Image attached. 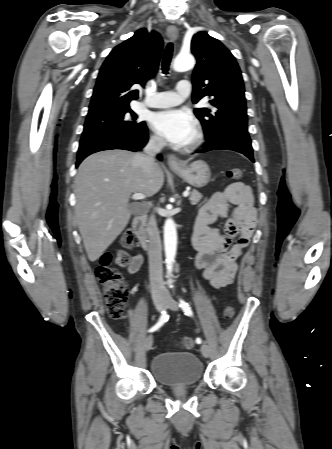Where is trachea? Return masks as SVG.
Instances as JSON below:
<instances>
[{
	"mask_svg": "<svg viewBox=\"0 0 332 449\" xmlns=\"http://www.w3.org/2000/svg\"><path fill=\"white\" fill-rule=\"evenodd\" d=\"M173 54V44L169 43L165 49L163 60H162V71L164 74H168L170 62Z\"/></svg>",
	"mask_w": 332,
	"mask_h": 449,
	"instance_id": "obj_1",
	"label": "trachea"
}]
</instances>
